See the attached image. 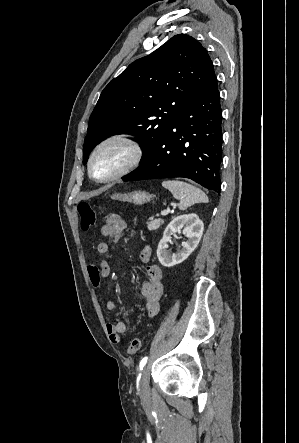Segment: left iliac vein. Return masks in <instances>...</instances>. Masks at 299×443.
<instances>
[{"mask_svg": "<svg viewBox=\"0 0 299 443\" xmlns=\"http://www.w3.org/2000/svg\"><path fill=\"white\" fill-rule=\"evenodd\" d=\"M140 391L143 396H147L149 394V382H148V370L144 368L141 378H140Z\"/></svg>", "mask_w": 299, "mask_h": 443, "instance_id": "obj_1", "label": "left iliac vein"}]
</instances>
